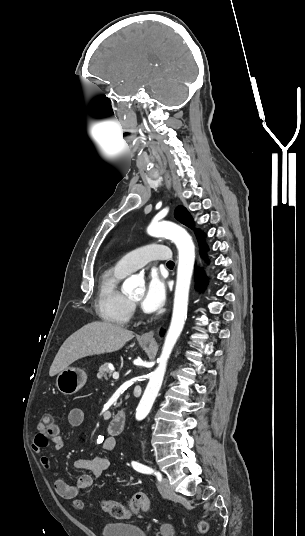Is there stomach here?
Segmentation results:
<instances>
[{
	"label": "stomach",
	"instance_id": "obj_1",
	"mask_svg": "<svg viewBox=\"0 0 305 536\" xmlns=\"http://www.w3.org/2000/svg\"><path fill=\"white\" fill-rule=\"evenodd\" d=\"M143 344H147V342H143ZM86 382L87 374L84 370H80V368L62 370L56 378V386L59 392H62L65 396L76 394L78 390H81L85 386Z\"/></svg>",
	"mask_w": 305,
	"mask_h": 536
}]
</instances>
